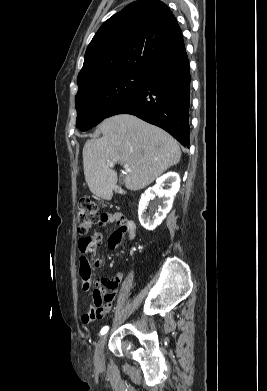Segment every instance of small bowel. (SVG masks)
Wrapping results in <instances>:
<instances>
[{
	"mask_svg": "<svg viewBox=\"0 0 267 391\" xmlns=\"http://www.w3.org/2000/svg\"><path fill=\"white\" fill-rule=\"evenodd\" d=\"M119 215L116 213H104L100 225L107 223H117L119 228L115 230L108 238V247L117 249L120 247L123 234H127L130 240L136 236V228L133 221H119ZM96 240L99 242L102 238L100 233L96 234ZM88 254H81L79 273L82 279V286L85 291H92V300L89 310L82 316L84 323L99 319L104 316L111 308L112 302L116 295V290L122 280V274L116 273L113 277L93 278L92 267L88 260ZM98 262H95V265Z\"/></svg>",
	"mask_w": 267,
	"mask_h": 391,
	"instance_id": "obj_1",
	"label": "small bowel"
}]
</instances>
